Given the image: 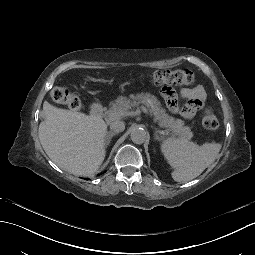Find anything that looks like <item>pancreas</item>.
<instances>
[{
  "label": "pancreas",
  "mask_w": 255,
  "mask_h": 255,
  "mask_svg": "<svg viewBox=\"0 0 255 255\" xmlns=\"http://www.w3.org/2000/svg\"><path fill=\"white\" fill-rule=\"evenodd\" d=\"M139 104H144L149 108L150 113L154 115V121L158 122L160 127L168 128V131L180 137L192 138L193 133L188 126H184V121L169 116L157 98L149 93L131 94L130 99L119 96L115 102L110 103L111 107L105 112V115L111 119H120L126 115L130 108Z\"/></svg>",
  "instance_id": "1"
}]
</instances>
